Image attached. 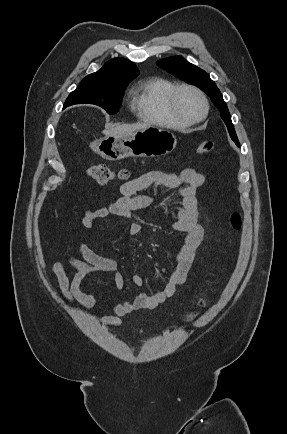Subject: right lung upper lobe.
I'll return each instance as SVG.
<instances>
[{"mask_svg": "<svg viewBox=\"0 0 287 434\" xmlns=\"http://www.w3.org/2000/svg\"><path fill=\"white\" fill-rule=\"evenodd\" d=\"M139 74L136 65L124 58H115L107 62L99 71L84 79L108 80L111 82L132 81Z\"/></svg>", "mask_w": 287, "mask_h": 434, "instance_id": "obj_1", "label": "right lung upper lobe"}]
</instances>
